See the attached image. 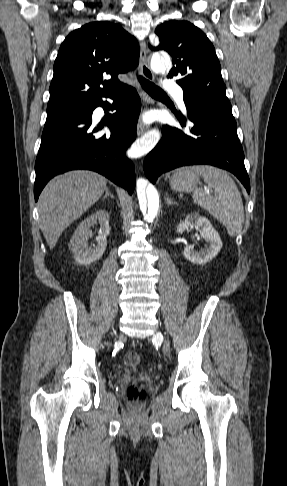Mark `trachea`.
<instances>
[{
    "instance_id": "1",
    "label": "trachea",
    "mask_w": 287,
    "mask_h": 486,
    "mask_svg": "<svg viewBox=\"0 0 287 486\" xmlns=\"http://www.w3.org/2000/svg\"><path fill=\"white\" fill-rule=\"evenodd\" d=\"M138 81L140 82L142 88L151 96H167V94L160 87L156 86L142 76H138Z\"/></svg>"
}]
</instances>
